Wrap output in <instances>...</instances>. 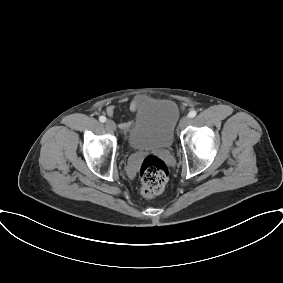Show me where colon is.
<instances>
[{
  "instance_id": "5ec220e1",
  "label": "colon",
  "mask_w": 283,
  "mask_h": 283,
  "mask_svg": "<svg viewBox=\"0 0 283 283\" xmlns=\"http://www.w3.org/2000/svg\"><path fill=\"white\" fill-rule=\"evenodd\" d=\"M139 177L142 196L151 198L164 190L169 179V169L161 159L149 155L142 162Z\"/></svg>"
}]
</instances>
